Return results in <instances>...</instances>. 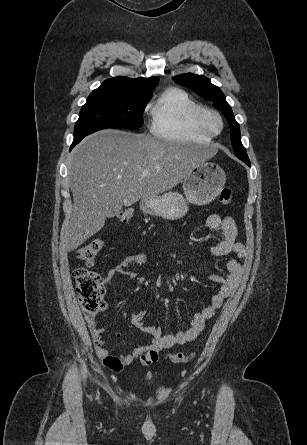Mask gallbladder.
<instances>
[{
	"label": "gallbladder",
	"mask_w": 307,
	"mask_h": 445,
	"mask_svg": "<svg viewBox=\"0 0 307 445\" xmlns=\"http://www.w3.org/2000/svg\"><path fill=\"white\" fill-rule=\"evenodd\" d=\"M107 207V213L106 216L109 219H114L117 216V212L122 211L123 206H122V201L119 200L118 196H113L112 200H110L109 202H107L106 204Z\"/></svg>",
	"instance_id": "gallbladder-1"
}]
</instances>
